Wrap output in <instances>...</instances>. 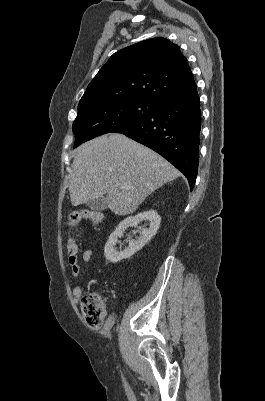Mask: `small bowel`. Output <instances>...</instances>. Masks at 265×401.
Returning a JSON list of instances; mask_svg holds the SVG:
<instances>
[{
    "mask_svg": "<svg viewBox=\"0 0 265 401\" xmlns=\"http://www.w3.org/2000/svg\"><path fill=\"white\" fill-rule=\"evenodd\" d=\"M93 255H94V253H93V250H91V249H87V250L83 251V253L81 254L83 265L88 264L91 261V259L93 258ZM78 257H79V250L76 255L68 256V264L70 266L72 279H75L78 276H80L83 271V267L79 264ZM83 292H84L83 283H78L72 289V294L76 301L80 300Z\"/></svg>",
    "mask_w": 265,
    "mask_h": 401,
    "instance_id": "obj_1",
    "label": "small bowel"
}]
</instances>
